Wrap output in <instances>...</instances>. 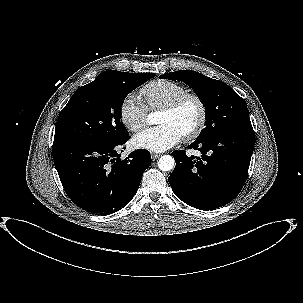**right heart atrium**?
I'll return each mask as SVG.
<instances>
[{
  "label": "right heart atrium",
  "instance_id": "1",
  "mask_svg": "<svg viewBox=\"0 0 303 303\" xmlns=\"http://www.w3.org/2000/svg\"><path fill=\"white\" fill-rule=\"evenodd\" d=\"M147 114V106L133 93L126 95L119 107L122 123L133 132H137L145 126Z\"/></svg>",
  "mask_w": 303,
  "mask_h": 303
}]
</instances>
